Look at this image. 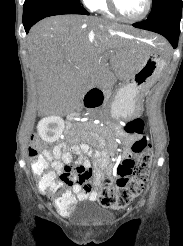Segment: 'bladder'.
I'll return each mask as SVG.
<instances>
[{"label": "bladder", "mask_w": 183, "mask_h": 246, "mask_svg": "<svg viewBox=\"0 0 183 246\" xmlns=\"http://www.w3.org/2000/svg\"><path fill=\"white\" fill-rule=\"evenodd\" d=\"M110 214L107 210L99 207H91L78 215V221L81 224H101L109 218Z\"/></svg>", "instance_id": "31cf9c89"}]
</instances>
